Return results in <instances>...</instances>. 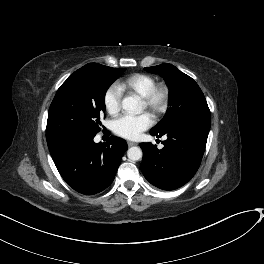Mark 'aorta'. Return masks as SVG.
Segmentation results:
<instances>
[{
  "label": "aorta",
  "mask_w": 264,
  "mask_h": 264,
  "mask_svg": "<svg viewBox=\"0 0 264 264\" xmlns=\"http://www.w3.org/2000/svg\"><path fill=\"white\" fill-rule=\"evenodd\" d=\"M123 109L133 115L139 114L143 107L140 99L137 96H127L122 101ZM127 156L131 161H138L142 158V150L139 147H131L127 151Z\"/></svg>",
  "instance_id": "762f6f07"
}]
</instances>
